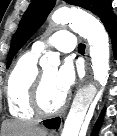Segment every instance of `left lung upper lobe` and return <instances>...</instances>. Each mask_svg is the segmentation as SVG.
<instances>
[{"label": "left lung upper lobe", "mask_w": 117, "mask_h": 136, "mask_svg": "<svg viewBox=\"0 0 117 136\" xmlns=\"http://www.w3.org/2000/svg\"><path fill=\"white\" fill-rule=\"evenodd\" d=\"M71 5H76L87 9L105 22L112 12V5L109 0H65ZM55 0H33L25 11L17 31L15 32L10 51L8 54L7 67H9L13 57L18 50L27 42V40L40 28L46 20V17L53 9Z\"/></svg>", "instance_id": "1"}]
</instances>
